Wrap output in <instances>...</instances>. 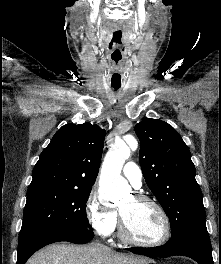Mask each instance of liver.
Wrapping results in <instances>:
<instances>
[{
	"instance_id": "1",
	"label": "liver",
	"mask_w": 221,
	"mask_h": 264,
	"mask_svg": "<svg viewBox=\"0 0 221 264\" xmlns=\"http://www.w3.org/2000/svg\"><path fill=\"white\" fill-rule=\"evenodd\" d=\"M150 260L116 253L100 244H53L34 254L26 264H148Z\"/></svg>"
}]
</instances>
